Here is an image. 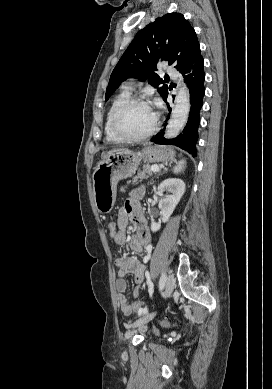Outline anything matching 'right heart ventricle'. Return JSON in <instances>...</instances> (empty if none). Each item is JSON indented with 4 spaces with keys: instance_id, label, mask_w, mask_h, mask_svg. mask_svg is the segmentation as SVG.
Instances as JSON below:
<instances>
[{
    "instance_id": "obj_1",
    "label": "right heart ventricle",
    "mask_w": 272,
    "mask_h": 389,
    "mask_svg": "<svg viewBox=\"0 0 272 389\" xmlns=\"http://www.w3.org/2000/svg\"><path fill=\"white\" fill-rule=\"evenodd\" d=\"M130 96V90L128 89H123L119 94H117L114 99L112 100L110 107L107 111L106 118H105V123H104V133H105V138L108 143H118L121 142L122 140L119 139L112 130L111 126V120L114 111L116 108L128 97Z\"/></svg>"
}]
</instances>
